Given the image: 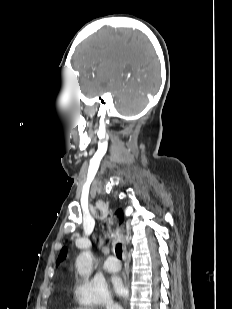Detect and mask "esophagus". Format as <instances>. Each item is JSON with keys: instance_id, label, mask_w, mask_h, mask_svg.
Returning a JSON list of instances; mask_svg holds the SVG:
<instances>
[{"instance_id": "34e87169", "label": "esophagus", "mask_w": 232, "mask_h": 309, "mask_svg": "<svg viewBox=\"0 0 232 309\" xmlns=\"http://www.w3.org/2000/svg\"><path fill=\"white\" fill-rule=\"evenodd\" d=\"M117 234H119V230L117 231ZM124 256H126V247L124 246Z\"/></svg>"}]
</instances>
